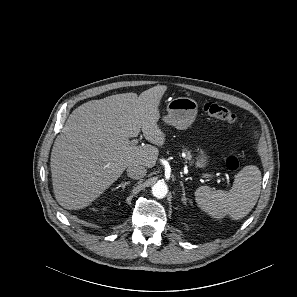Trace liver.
<instances>
[{
    "instance_id": "1",
    "label": "liver",
    "mask_w": 297,
    "mask_h": 297,
    "mask_svg": "<svg viewBox=\"0 0 297 297\" xmlns=\"http://www.w3.org/2000/svg\"><path fill=\"white\" fill-rule=\"evenodd\" d=\"M167 90L157 85L139 96L111 95L73 110L51 152V174L57 202L69 210L90 205L131 165L152 168L165 134L158 126L159 104ZM156 145H131L139 133Z\"/></svg>"
}]
</instances>
